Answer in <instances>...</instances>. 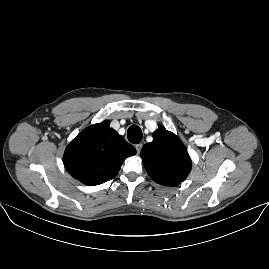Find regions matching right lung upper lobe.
<instances>
[{"label":"right lung upper lobe","instance_id":"cb5924a9","mask_svg":"<svg viewBox=\"0 0 269 269\" xmlns=\"http://www.w3.org/2000/svg\"><path fill=\"white\" fill-rule=\"evenodd\" d=\"M136 149L110 128L108 120L87 127L67 146L63 162L68 173L85 185L113 179Z\"/></svg>","mask_w":269,"mask_h":269}]
</instances>
